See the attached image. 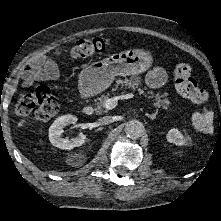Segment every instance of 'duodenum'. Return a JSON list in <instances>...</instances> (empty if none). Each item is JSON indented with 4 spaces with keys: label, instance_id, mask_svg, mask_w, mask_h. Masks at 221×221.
I'll use <instances>...</instances> for the list:
<instances>
[{
    "label": "duodenum",
    "instance_id": "duodenum-1",
    "mask_svg": "<svg viewBox=\"0 0 221 221\" xmlns=\"http://www.w3.org/2000/svg\"><path fill=\"white\" fill-rule=\"evenodd\" d=\"M93 111H94V109H93V107L90 106V105L85 106V107L83 108V113H84L85 115H91V114L93 113Z\"/></svg>",
    "mask_w": 221,
    "mask_h": 221
}]
</instances>
